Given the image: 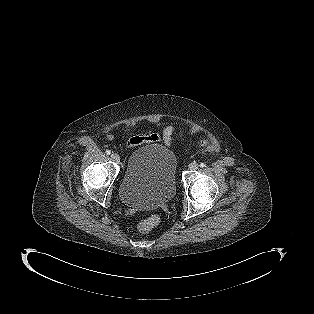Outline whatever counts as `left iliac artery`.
I'll return each instance as SVG.
<instances>
[{
	"instance_id": "left-iliac-artery-1",
	"label": "left iliac artery",
	"mask_w": 314,
	"mask_h": 314,
	"mask_svg": "<svg viewBox=\"0 0 314 314\" xmlns=\"http://www.w3.org/2000/svg\"><path fill=\"white\" fill-rule=\"evenodd\" d=\"M205 166H206V164H204V163H201V164H200V167H201V168H204Z\"/></svg>"
}]
</instances>
